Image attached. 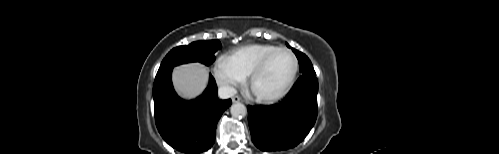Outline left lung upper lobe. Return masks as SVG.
I'll use <instances>...</instances> for the list:
<instances>
[{"mask_svg":"<svg viewBox=\"0 0 499 154\" xmlns=\"http://www.w3.org/2000/svg\"><path fill=\"white\" fill-rule=\"evenodd\" d=\"M288 47H290L288 44H286ZM293 52L296 54L297 58H298V61H299V70L300 72L302 73V75H311V76H315L316 73L314 71V68H313V65L311 63V61L309 60V58L295 50V49H292Z\"/></svg>","mask_w":499,"mask_h":154,"instance_id":"obj_1","label":"left lung upper lobe"}]
</instances>
